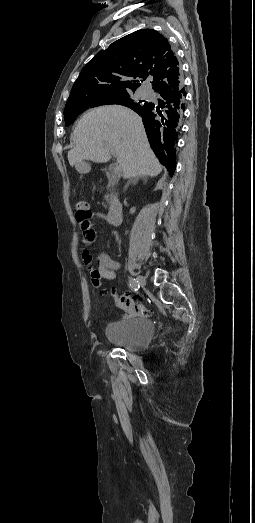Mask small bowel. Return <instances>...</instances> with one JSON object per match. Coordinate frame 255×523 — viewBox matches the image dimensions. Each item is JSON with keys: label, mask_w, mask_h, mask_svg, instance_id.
<instances>
[{"label": "small bowel", "mask_w": 255, "mask_h": 523, "mask_svg": "<svg viewBox=\"0 0 255 523\" xmlns=\"http://www.w3.org/2000/svg\"><path fill=\"white\" fill-rule=\"evenodd\" d=\"M94 216L100 219L104 218V215L101 213H95ZM80 226L82 229V242L84 245L81 256L91 276L95 275L98 278L106 280L116 279L117 271L120 268L119 262L114 260L109 254L102 252L97 257L96 266H93L92 257L89 253L88 247L95 241L96 231L89 221L81 223Z\"/></svg>", "instance_id": "small-bowel-1"}]
</instances>
